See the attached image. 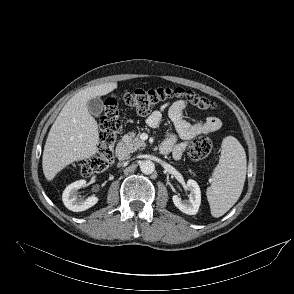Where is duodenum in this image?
Segmentation results:
<instances>
[{
	"instance_id": "duodenum-1",
	"label": "duodenum",
	"mask_w": 294,
	"mask_h": 294,
	"mask_svg": "<svg viewBox=\"0 0 294 294\" xmlns=\"http://www.w3.org/2000/svg\"><path fill=\"white\" fill-rule=\"evenodd\" d=\"M163 149H164V147L161 146V150H163ZM116 155H117L118 159H120L122 161L127 158V144L123 139L120 140V142L118 143V145L116 147Z\"/></svg>"
}]
</instances>
